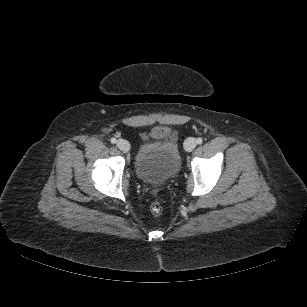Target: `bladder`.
<instances>
[{
	"label": "bladder",
	"mask_w": 307,
	"mask_h": 307,
	"mask_svg": "<svg viewBox=\"0 0 307 307\" xmlns=\"http://www.w3.org/2000/svg\"><path fill=\"white\" fill-rule=\"evenodd\" d=\"M180 154L176 140L144 143L135 155L134 170L138 178L151 184H164L180 170Z\"/></svg>",
	"instance_id": "31cf9c89"
}]
</instances>
